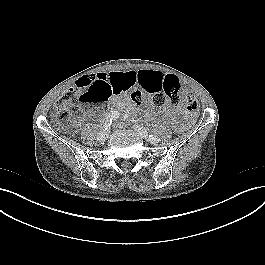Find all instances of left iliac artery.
I'll return each instance as SVG.
<instances>
[{
	"label": "left iliac artery",
	"instance_id": "44dca946",
	"mask_svg": "<svg viewBox=\"0 0 265 265\" xmlns=\"http://www.w3.org/2000/svg\"><path fill=\"white\" fill-rule=\"evenodd\" d=\"M149 139L152 141H159L158 137H156L154 135H149Z\"/></svg>",
	"mask_w": 265,
	"mask_h": 265
}]
</instances>
